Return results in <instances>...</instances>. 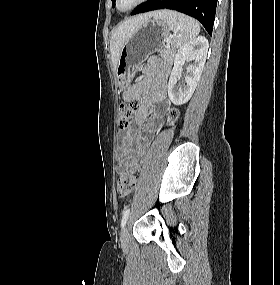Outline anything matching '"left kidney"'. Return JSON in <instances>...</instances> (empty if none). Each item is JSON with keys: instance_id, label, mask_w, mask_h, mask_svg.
Masks as SVG:
<instances>
[{"instance_id": "1", "label": "left kidney", "mask_w": 280, "mask_h": 285, "mask_svg": "<svg viewBox=\"0 0 280 285\" xmlns=\"http://www.w3.org/2000/svg\"><path fill=\"white\" fill-rule=\"evenodd\" d=\"M208 47V40L200 36L184 44L178 50L168 83V96L173 104L182 105L191 98L202 74ZM185 61H189L191 64L187 67L188 74L185 77L184 86L176 87L182 75V66Z\"/></svg>"}]
</instances>
